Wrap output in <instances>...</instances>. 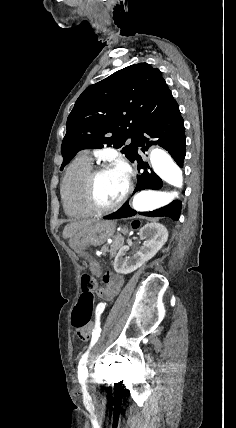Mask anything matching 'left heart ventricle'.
<instances>
[{"label":"left heart ventricle","instance_id":"1","mask_svg":"<svg viewBox=\"0 0 236 428\" xmlns=\"http://www.w3.org/2000/svg\"><path fill=\"white\" fill-rule=\"evenodd\" d=\"M128 176L118 169H111L103 173L96 183V194L104 204L117 202L126 192Z\"/></svg>","mask_w":236,"mask_h":428}]
</instances>
